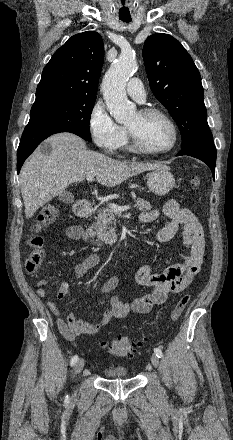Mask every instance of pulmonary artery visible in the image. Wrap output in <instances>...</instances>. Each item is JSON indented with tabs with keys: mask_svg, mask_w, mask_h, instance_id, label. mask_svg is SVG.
Segmentation results:
<instances>
[{
	"mask_svg": "<svg viewBox=\"0 0 233 440\" xmlns=\"http://www.w3.org/2000/svg\"><path fill=\"white\" fill-rule=\"evenodd\" d=\"M126 91L137 102H144L146 93L143 83L139 78H131L127 83Z\"/></svg>",
	"mask_w": 233,
	"mask_h": 440,
	"instance_id": "1",
	"label": "pulmonary artery"
}]
</instances>
